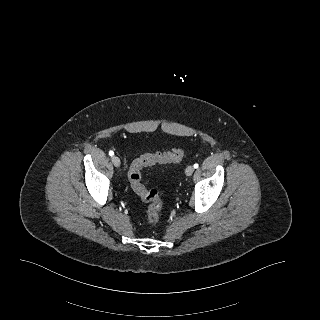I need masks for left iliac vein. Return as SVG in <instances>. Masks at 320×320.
Returning a JSON list of instances; mask_svg holds the SVG:
<instances>
[{
    "instance_id": "obj_1",
    "label": "left iliac vein",
    "mask_w": 320,
    "mask_h": 320,
    "mask_svg": "<svg viewBox=\"0 0 320 320\" xmlns=\"http://www.w3.org/2000/svg\"><path fill=\"white\" fill-rule=\"evenodd\" d=\"M193 172H194V167L193 166H188L187 168H186V170H185V173H186V175L187 176H191L192 174H193Z\"/></svg>"
}]
</instances>
